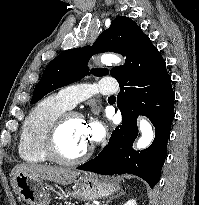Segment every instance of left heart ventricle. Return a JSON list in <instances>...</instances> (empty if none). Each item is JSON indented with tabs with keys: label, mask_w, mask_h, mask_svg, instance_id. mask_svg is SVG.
<instances>
[{
	"label": "left heart ventricle",
	"mask_w": 199,
	"mask_h": 205,
	"mask_svg": "<svg viewBox=\"0 0 199 205\" xmlns=\"http://www.w3.org/2000/svg\"><path fill=\"white\" fill-rule=\"evenodd\" d=\"M84 125L83 120L72 118L60 131L58 147L64 156H77L90 145V141L84 134Z\"/></svg>",
	"instance_id": "b2bd125f"
}]
</instances>
